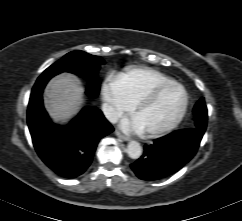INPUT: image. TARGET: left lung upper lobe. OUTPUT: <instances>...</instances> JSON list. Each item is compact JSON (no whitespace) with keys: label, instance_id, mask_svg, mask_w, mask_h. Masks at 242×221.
<instances>
[{"label":"left lung upper lobe","instance_id":"5c2ea615","mask_svg":"<svg viewBox=\"0 0 242 221\" xmlns=\"http://www.w3.org/2000/svg\"><path fill=\"white\" fill-rule=\"evenodd\" d=\"M194 126L197 129H206L207 124V108L204 98H201L195 105L194 110Z\"/></svg>","mask_w":242,"mask_h":221}]
</instances>
